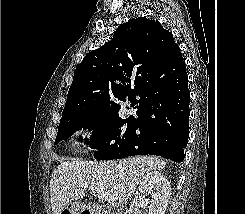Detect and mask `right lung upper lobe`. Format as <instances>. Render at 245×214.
I'll return each mask as SVG.
<instances>
[{"label": "right lung upper lobe", "instance_id": "obj_1", "mask_svg": "<svg viewBox=\"0 0 245 214\" xmlns=\"http://www.w3.org/2000/svg\"><path fill=\"white\" fill-rule=\"evenodd\" d=\"M186 78L185 61L172 34L158 21L132 18L76 67L62 115L118 113L120 101L128 98L131 106L140 105L162 79L175 85Z\"/></svg>", "mask_w": 245, "mask_h": 214}]
</instances>
